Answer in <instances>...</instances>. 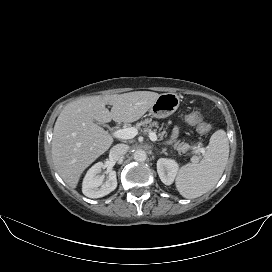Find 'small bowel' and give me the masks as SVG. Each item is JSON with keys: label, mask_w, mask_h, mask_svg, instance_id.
<instances>
[{"label": "small bowel", "mask_w": 272, "mask_h": 272, "mask_svg": "<svg viewBox=\"0 0 272 272\" xmlns=\"http://www.w3.org/2000/svg\"><path fill=\"white\" fill-rule=\"evenodd\" d=\"M178 133H179V129H178V128H175V129L173 130V132H172V139L177 138Z\"/></svg>", "instance_id": "obj_1"}]
</instances>
